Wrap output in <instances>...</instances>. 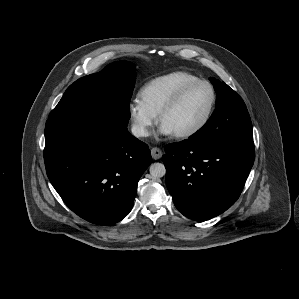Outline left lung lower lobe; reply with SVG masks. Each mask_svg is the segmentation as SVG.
Wrapping results in <instances>:
<instances>
[{
    "mask_svg": "<svg viewBox=\"0 0 299 299\" xmlns=\"http://www.w3.org/2000/svg\"><path fill=\"white\" fill-rule=\"evenodd\" d=\"M166 185L176 208L204 221L239 198L254 163L253 141L202 142L187 139L165 146Z\"/></svg>",
    "mask_w": 299,
    "mask_h": 299,
    "instance_id": "left-lung-lower-lobe-1",
    "label": "left lung lower lobe"
}]
</instances>
